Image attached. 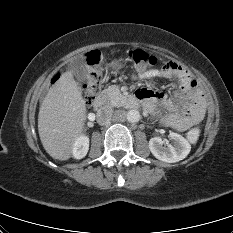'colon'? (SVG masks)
<instances>
[{
	"instance_id": "colon-1",
	"label": "colon",
	"mask_w": 233,
	"mask_h": 233,
	"mask_svg": "<svg viewBox=\"0 0 233 233\" xmlns=\"http://www.w3.org/2000/svg\"><path fill=\"white\" fill-rule=\"evenodd\" d=\"M128 55L135 67L139 70H149L158 64V59L155 56L141 49L130 50ZM86 60L89 65L96 69L98 67L100 57L97 52L92 51L86 55ZM59 78L60 74H56L52 79V83H55ZM103 84L104 79L97 70L89 75L86 83L83 86L84 99L88 104L94 100L96 94L102 89ZM199 136L200 130L196 127L192 128L187 133V139L191 143L197 142Z\"/></svg>"
}]
</instances>
